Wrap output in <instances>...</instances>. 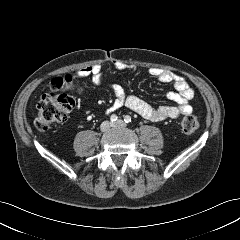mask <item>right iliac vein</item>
Wrapping results in <instances>:
<instances>
[{
    "instance_id": "63e3f726",
    "label": "right iliac vein",
    "mask_w": 240,
    "mask_h": 240,
    "mask_svg": "<svg viewBox=\"0 0 240 240\" xmlns=\"http://www.w3.org/2000/svg\"><path fill=\"white\" fill-rule=\"evenodd\" d=\"M111 126L112 125L109 121H105L101 124L100 129H101V131L106 132L111 128Z\"/></svg>"
}]
</instances>
